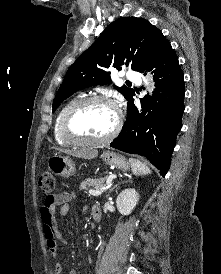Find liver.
I'll return each mask as SVG.
<instances>
[{
    "label": "liver",
    "mask_w": 221,
    "mask_h": 274,
    "mask_svg": "<svg viewBox=\"0 0 221 274\" xmlns=\"http://www.w3.org/2000/svg\"><path fill=\"white\" fill-rule=\"evenodd\" d=\"M56 150L69 154L74 157L82 158V159H93L97 157L98 151L93 148H87L82 150H69V149H62V148H56Z\"/></svg>",
    "instance_id": "obj_1"
}]
</instances>
